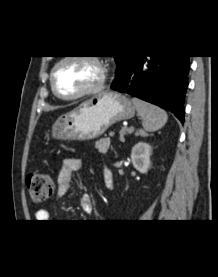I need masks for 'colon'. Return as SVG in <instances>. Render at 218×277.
<instances>
[{"instance_id": "5ec220e1", "label": "colon", "mask_w": 218, "mask_h": 277, "mask_svg": "<svg viewBox=\"0 0 218 277\" xmlns=\"http://www.w3.org/2000/svg\"><path fill=\"white\" fill-rule=\"evenodd\" d=\"M27 187L31 201L43 203L53 194L54 180L47 173L35 172L29 175Z\"/></svg>"}]
</instances>
